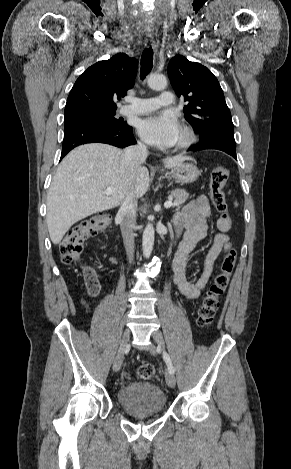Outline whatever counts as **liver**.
Segmentation results:
<instances>
[{
    "label": "liver",
    "mask_w": 291,
    "mask_h": 469,
    "mask_svg": "<svg viewBox=\"0 0 291 469\" xmlns=\"http://www.w3.org/2000/svg\"><path fill=\"white\" fill-rule=\"evenodd\" d=\"M122 150L107 144H85L72 150L59 165L47 199L46 221L53 244L61 242L76 222L115 208L133 193L138 199L149 188V171L139 165L131 169ZM190 157L166 158L165 168L173 169ZM107 187L114 188L111 195Z\"/></svg>",
    "instance_id": "liver-1"
}]
</instances>
